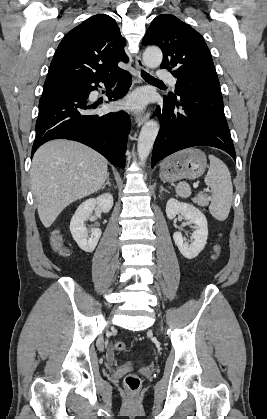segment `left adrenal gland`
I'll use <instances>...</instances> for the list:
<instances>
[{"label":"left adrenal gland","instance_id":"left-adrenal-gland-1","mask_svg":"<svg viewBox=\"0 0 267 419\" xmlns=\"http://www.w3.org/2000/svg\"><path fill=\"white\" fill-rule=\"evenodd\" d=\"M163 191L168 192V191H167L166 189H164V188H163V186L161 185V186H160V193L162 194V192H163Z\"/></svg>","mask_w":267,"mask_h":419}]
</instances>
